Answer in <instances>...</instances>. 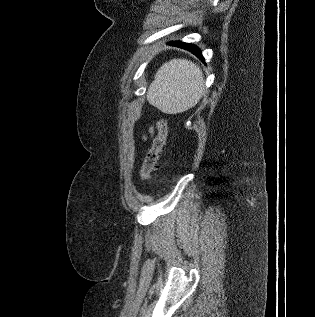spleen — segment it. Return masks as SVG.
Here are the masks:
<instances>
[{
	"label": "spleen",
	"mask_w": 315,
	"mask_h": 317,
	"mask_svg": "<svg viewBox=\"0 0 315 317\" xmlns=\"http://www.w3.org/2000/svg\"><path fill=\"white\" fill-rule=\"evenodd\" d=\"M204 92L201 69L187 59H172L156 72L147 93L149 102L166 114L194 107Z\"/></svg>",
	"instance_id": "1"
}]
</instances>
